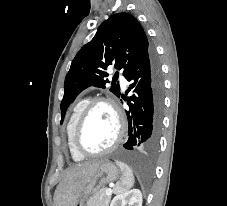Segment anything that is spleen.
<instances>
[{
	"instance_id": "3e777b00",
	"label": "spleen",
	"mask_w": 227,
	"mask_h": 206,
	"mask_svg": "<svg viewBox=\"0 0 227 206\" xmlns=\"http://www.w3.org/2000/svg\"><path fill=\"white\" fill-rule=\"evenodd\" d=\"M116 164L122 171V178L116 183L114 188L115 193H123L130 189L134 184V175L131 168L121 161H116Z\"/></svg>"
}]
</instances>
